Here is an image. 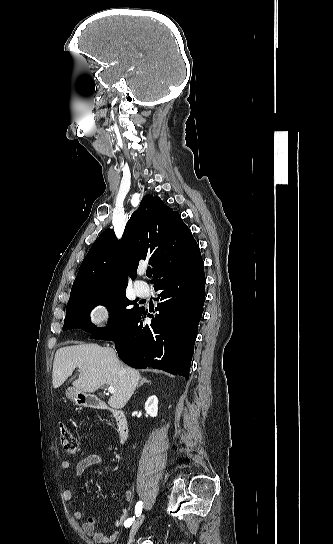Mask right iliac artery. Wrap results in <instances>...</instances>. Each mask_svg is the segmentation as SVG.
<instances>
[{
    "mask_svg": "<svg viewBox=\"0 0 333 544\" xmlns=\"http://www.w3.org/2000/svg\"><path fill=\"white\" fill-rule=\"evenodd\" d=\"M142 509H143V503L142 501H138L135 506V516H133V518H129L124 524L126 528L131 526L132 522L135 520L136 517H139V515L142 512Z\"/></svg>",
    "mask_w": 333,
    "mask_h": 544,
    "instance_id": "right-iliac-artery-1",
    "label": "right iliac artery"
}]
</instances>
